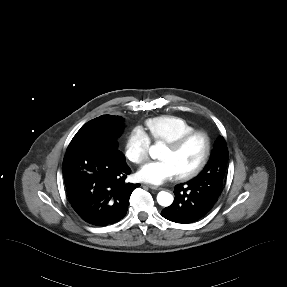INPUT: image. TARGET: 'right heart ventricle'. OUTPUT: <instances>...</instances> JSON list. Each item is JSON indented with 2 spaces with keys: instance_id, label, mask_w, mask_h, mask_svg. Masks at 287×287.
Wrapping results in <instances>:
<instances>
[{
  "instance_id": "e07e8e85",
  "label": "right heart ventricle",
  "mask_w": 287,
  "mask_h": 287,
  "mask_svg": "<svg viewBox=\"0 0 287 287\" xmlns=\"http://www.w3.org/2000/svg\"><path fill=\"white\" fill-rule=\"evenodd\" d=\"M145 126L150 140L165 144L195 130L188 119L177 115H161L147 119Z\"/></svg>"
}]
</instances>
